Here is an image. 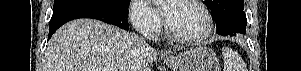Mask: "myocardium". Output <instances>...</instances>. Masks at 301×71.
<instances>
[{
	"instance_id": "myocardium-1",
	"label": "myocardium",
	"mask_w": 301,
	"mask_h": 71,
	"mask_svg": "<svg viewBox=\"0 0 301 71\" xmlns=\"http://www.w3.org/2000/svg\"><path fill=\"white\" fill-rule=\"evenodd\" d=\"M183 2L193 6L202 14V16L204 17V20H205V26H204L203 30L197 35L185 36V35H181V34L175 32L169 26V24L166 22V32L169 37H171L173 40L180 42V43H185V44L201 43L210 36L212 29H213V19L210 15L209 11L200 2L194 1V0H184Z\"/></svg>"
}]
</instances>
